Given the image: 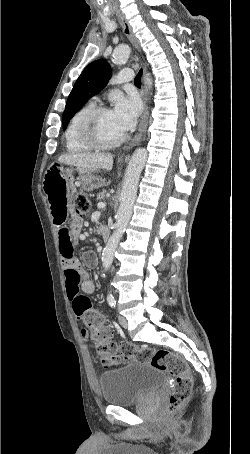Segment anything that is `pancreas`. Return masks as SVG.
Returning a JSON list of instances; mask_svg holds the SVG:
<instances>
[{
  "label": "pancreas",
  "mask_w": 250,
  "mask_h": 454,
  "mask_svg": "<svg viewBox=\"0 0 250 454\" xmlns=\"http://www.w3.org/2000/svg\"><path fill=\"white\" fill-rule=\"evenodd\" d=\"M105 197V190H103L102 192H100L98 195H97V198L98 199H103Z\"/></svg>",
  "instance_id": "cf45deb5"
}]
</instances>
